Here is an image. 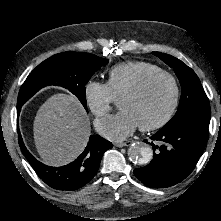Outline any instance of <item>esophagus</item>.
<instances>
[{"mask_svg": "<svg viewBox=\"0 0 221 221\" xmlns=\"http://www.w3.org/2000/svg\"><path fill=\"white\" fill-rule=\"evenodd\" d=\"M132 143H133V141L128 140L126 142L115 143V146L121 148V147H125V146H130V145H132Z\"/></svg>", "mask_w": 221, "mask_h": 221, "instance_id": "obj_1", "label": "esophagus"}]
</instances>
